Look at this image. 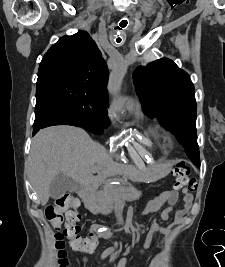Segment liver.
Instances as JSON below:
<instances>
[{
	"mask_svg": "<svg viewBox=\"0 0 225 267\" xmlns=\"http://www.w3.org/2000/svg\"><path fill=\"white\" fill-rule=\"evenodd\" d=\"M25 168L42 206L47 204L49 185L58 174L70 177L79 188H87L131 169L115 163L108 151L86 131L69 125L40 130L32 140ZM96 172L98 176L94 179Z\"/></svg>",
	"mask_w": 225,
	"mask_h": 267,
	"instance_id": "obj_1",
	"label": "liver"
}]
</instances>
